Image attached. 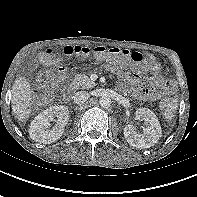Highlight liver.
I'll use <instances>...</instances> for the list:
<instances>
[{"label": "liver", "instance_id": "6515ba94", "mask_svg": "<svg viewBox=\"0 0 197 197\" xmlns=\"http://www.w3.org/2000/svg\"><path fill=\"white\" fill-rule=\"evenodd\" d=\"M12 111L19 122L29 117L32 105V91L30 83L25 77H18L12 86Z\"/></svg>", "mask_w": 197, "mask_h": 197}]
</instances>
